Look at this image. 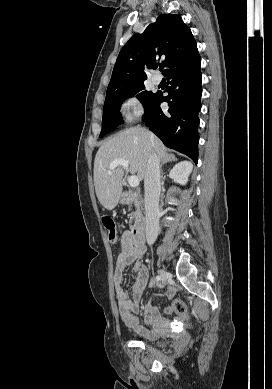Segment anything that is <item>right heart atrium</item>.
Listing matches in <instances>:
<instances>
[{"instance_id":"right-heart-atrium-1","label":"right heart atrium","mask_w":272,"mask_h":389,"mask_svg":"<svg viewBox=\"0 0 272 389\" xmlns=\"http://www.w3.org/2000/svg\"><path fill=\"white\" fill-rule=\"evenodd\" d=\"M121 112L127 121H132L143 113V104L136 96L127 97L121 104Z\"/></svg>"}]
</instances>
